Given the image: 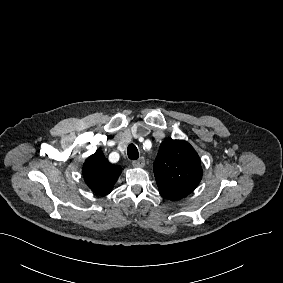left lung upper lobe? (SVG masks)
<instances>
[{
  "instance_id": "obj_1",
  "label": "left lung upper lobe",
  "mask_w": 283,
  "mask_h": 283,
  "mask_svg": "<svg viewBox=\"0 0 283 283\" xmlns=\"http://www.w3.org/2000/svg\"><path fill=\"white\" fill-rule=\"evenodd\" d=\"M153 168L159 193L173 201L189 195L203 174L197 152L184 140H164Z\"/></svg>"
}]
</instances>
